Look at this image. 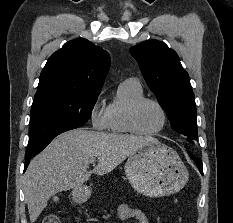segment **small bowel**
<instances>
[{
	"instance_id": "c3829d8e",
	"label": "small bowel",
	"mask_w": 233,
	"mask_h": 223,
	"mask_svg": "<svg viewBox=\"0 0 233 223\" xmlns=\"http://www.w3.org/2000/svg\"><path fill=\"white\" fill-rule=\"evenodd\" d=\"M118 216L121 220H136V223H150L146 215L138 208L128 204H121L118 208Z\"/></svg>"
}]
</instances>
